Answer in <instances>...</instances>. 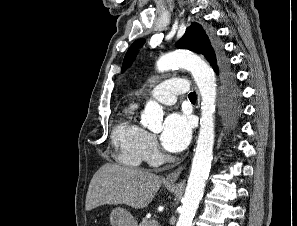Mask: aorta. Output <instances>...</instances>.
Instances as JSON below:
<instances>
[{"mask_svg": "<svg viewBox=\"0 0 297 226\" xmlns=\"http://www.w3.org/2000/svg\"><path fill=\"white\" fill-rule=\"evenodd\" d=\"M174 67L185 68L192 73L202 100L197 146L176 224V226H191L204 193L213 159L216 77L212 68L205 61L190 52L173 51L163 55L157 61L159 72L168 71ZM162 120V107L155 101H149L142 114L143 125L151 131H161Z\"/></svg>", "mask_w": 297, "mask_h": 226, "instance_id": "aorta-1", "label": "aorta"}]
</instances>
